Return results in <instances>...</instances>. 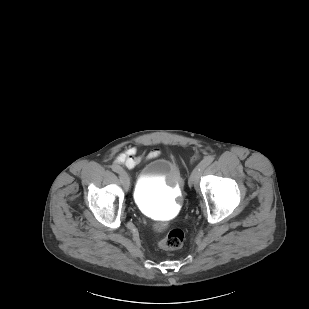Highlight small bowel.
Wrapping results in <instances>:
<instances>
[{
  "label": "small bowel",
  "instance_id": "c3829d8e",
  "mask_svg": "<svg viewBox=\"0 0 309 309\" xmlns=\"http://www.w3.org/2000/svg\"><path fill=\"white\" fill-rule=\"evenodd\" d=\"M158 155H159V151L155 149V150L150 151L146 157L148 159H152V158L157 157ZM115 161L118 164L125 165L128 168H134L140 164L141 159L140 157L137 156L136 149L134 147H130L120 152L116 156Z\"/></svg>",
  "mask_w": 309,
  "mask_h": 309
}]
</instances>
